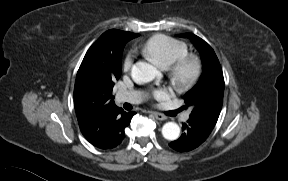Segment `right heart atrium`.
I'll use <instances>...</instances> for the list:
<instances>
[{
  "label": "right heart atrium",
  "instance_id": "obj_1",
  "mask_svg": "<svg viewBox=\"0 0 288 181\" xmlns=\"http://www.w3.org/2000/svg\"><path fill=\"white\" fill-rule=\"evenodd\" d=\"M132 64H133V54L129 52L124 58L123 70L129 71L132 67Z\"/></svg>",
  "mask_w": 288,
  "mask_h": 181
}]
</instances>
